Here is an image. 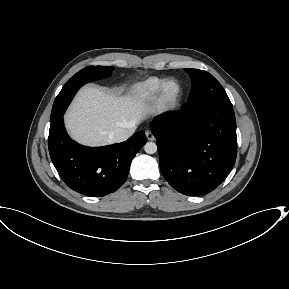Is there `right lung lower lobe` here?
Wrapping results in <instances>:
<instances>
[{
	"mask_svg": "<svg viewBox=\"0 0 289 289\" xmlns=\"http://www.w3.org/2000/svg\"><path fill=\"white\" fill-rule=\"evenodd\" d=\"M146 141L145 133L139 131L119 144L82 146L66 133L62 115L50 123L48 147L51 160L68 187L87 196L100 197L123 185L132 159Z\"/></svg>",
	"mask_w": 289,
	"mask_h": 289,
	"instance_id": "obj_1",
	"label": "right lung lower lobe"
}]
</instances>
